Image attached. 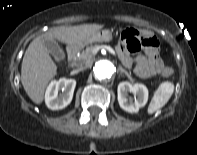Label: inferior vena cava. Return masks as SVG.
<instances>
[{
  "instance_id": "inferior-vena-cava-1",
  "label": "inferior vena cava",
  "mask_w": 197,
  "mask_h": 155,
  "mask_svg": "<svg viewBox=\"0 0 197 155\" xmlns=\"http://www.w3.org/2000/svg\"><path fill=\"white\" fill-rule=\"evenodd\" d=\"M85 67L83 66V64L81 65V67L79 69H77V71H81L83 70Z\"/></svg>"
}]
</instances>
